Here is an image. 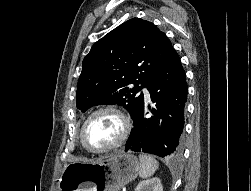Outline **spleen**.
<instances>
[{"label":"spleen","mask_w":251,"mask_h":191,"mask_svg":"<svg viewBox=\"0 0 251 191\" xmlns=\"http://www.w3.org/2000/svg\"><path fill=\"white\" fill-rule=\"evenodd\" d=\"M140 159V169L139 175L140 177H150L155 173L156 169H158V161L154 159L152 155H145V153H141L139 155Z\"/></svg>","instance_id":"3e777b00"}]
</instances>
